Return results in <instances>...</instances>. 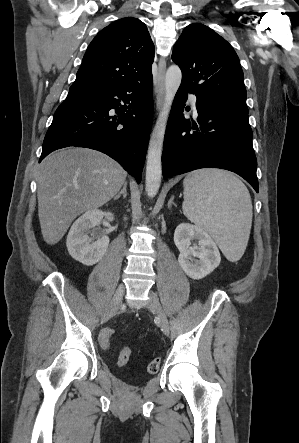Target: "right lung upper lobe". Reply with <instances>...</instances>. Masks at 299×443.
<instances>
[{
	"label": "right lung upper lobe",
	"mask_w": 299,
	"mask_h": 443,
	"mask_svg": "<svg viewBox=\"0 0 299 443\" xmlns=\"http://www.w3.org/2000/svg\"><path fill=\"white\" fill-rule=\"evenodd\" d=\"M153 60L146 25L133 17L117 20L91 41L70 88L94 90L151 77Z\"/></svg>",
	"instance_id": "obj_1"
}]
</instances>
